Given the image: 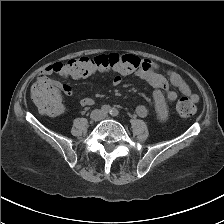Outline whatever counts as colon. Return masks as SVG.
Returning <instances> with one entry per match:
<instances>
[{"instance_id":"5ec220e1","label":"colon","mask_w":224,"mask_h":224,"mask_svg":"<svg viewBox=\"0 0 224 224\" xmlns=\"http://www.w3.org/2000/svg\"><path fill=\"white\" fill-rule=\"evenodd\" d=\"M141 65V60L128 54H101L95 57H79L64 63L70 77L81 79L99 73H117L128 75ZM31 97L38 110L46 115L57 116L63 110L59 91L45 82H36L31 90ZM176 110L179 116L187 118L196 112V105L188 97L178 100Z\"/></svg>"}]
</instances>
